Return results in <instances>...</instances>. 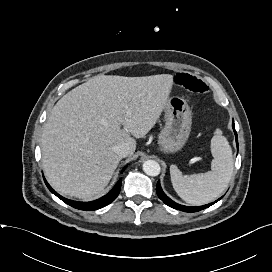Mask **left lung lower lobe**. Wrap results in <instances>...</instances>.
<instances>
[{"label": "left lung lower lobe", "instance_id": "obj_1", "mask_svg": "<svg viewBox=\"0 0 272 272\" xmlns=\"http://www.w3.org/2000/svg\"><path fill=\"white\" fill-rule=\"evenodd\" d=\"M232 127L234 130V133L236 135V143H237V147H238V138H237V133L235 130V126H234V122L232 123ZM156 191L157 194L159 196V198L168 206L177 209V210H181V211H185V212H196V211H200L203 210L211 205H213L214 203H216L217 201H219L221 198H219L217 201L207 204V205H203V206H198V207H188V206H183L180 204L175 203L174 201H172L169 197H167L165 195V193L163 192L161 186H160V181L157 182V186H156Z\"/></svg>", "mask_w": 272, "mask_h": 272}]
</instances>
